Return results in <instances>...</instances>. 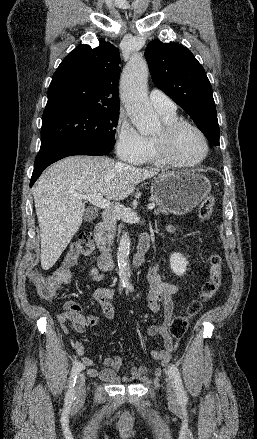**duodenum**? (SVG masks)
<instances>
[{
	"label": "duodenum",
	"instance_id": "410a0bca",
	"mask_svg": "<svg viewBox=\"0 0 257 439\" xmlns=\"http://www.w3.org/2000/svg\"><path fill=\"white\" fill-rule=\"evenodd\" d=\"M94 237L97 247L100 249L101 254L98 258V266L102 271H110L112 268V263L110 256L106 250V239H105V224L100 222L97 224ZM149 248L148 240H141L138 244L136 254L133 258L132 267L138 268L143 264L144 256Z\"/></svg>",
	"mask_w": 257,
	"mask_h": 439
}]
</instances>
